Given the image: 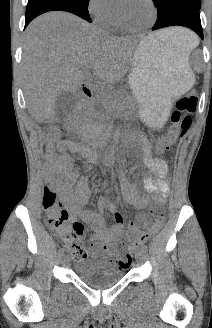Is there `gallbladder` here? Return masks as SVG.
<instances>
[{"label":"gallbladder","instance_id":"obj_1","mask_svg":"<svg viewBox=\"0 0 212 328\" xmlns=\"http://www.w3.org/2000/svg\"><path fill=\"white\" fill-rule=\"evenodd\" d=\"M77 102V97L72 92H61L55 102V113L57 121L67 119Z\"/></svg>","mask_w":212,"mask_h":328}]
</instances>
